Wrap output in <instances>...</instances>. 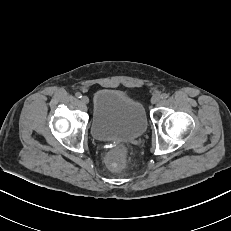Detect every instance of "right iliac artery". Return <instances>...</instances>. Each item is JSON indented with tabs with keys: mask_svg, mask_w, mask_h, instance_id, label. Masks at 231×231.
<instances>
[{
	"mask_svg": "<svg viewBox=\"0 0 231 231\" xmlns=\"http://www.w3.org/2000/svg\"><path fill=\"white\" fill-rule=\"evenodd\" d=\"M75 96H76L77 98H81V97H82V94H81L80 92H77V93L75 94Z\"/></svg>",
	"mask_w": 231,
	"mask_h": 231,
	"instance_id": "82829eb1",
	"label": "right iliac artery"
}]
</instances>
